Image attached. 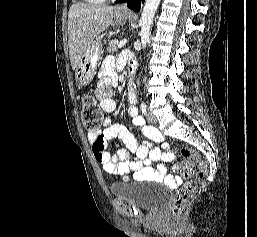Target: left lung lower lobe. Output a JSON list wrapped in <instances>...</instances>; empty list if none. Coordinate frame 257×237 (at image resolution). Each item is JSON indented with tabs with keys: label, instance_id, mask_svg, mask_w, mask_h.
<instances>
[{
	"label": "left lung lower lobe",
	"instance_id": "0a47b994",
	"mask_svg": "<svg viewBox=\"0 0 257 237\" xmlns=\"http://www.w3.org/2000/svg\"><path fill=\"white\" fill-rule=\"evenodd\" d=\"M128 2L127 6L128 8L132 9L133 11L139 12L141 7V2H144V0H118L116 3H124Z\"/></svg>",
	"mask_w": 257,
	"mask_h": 237
}]
</instances>
